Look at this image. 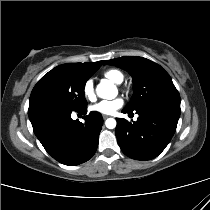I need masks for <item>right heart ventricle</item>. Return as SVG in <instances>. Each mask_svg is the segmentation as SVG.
<instances>
[{
  "label": "right heart ventricle",
  "mask_w": 210,
  "mask_h": 210,
  "mask_svg": "<svg viewBox=\"0 0 210 210\" xmlns=\"http://www.w3.org/2000/svg\"><path fill=\"white\" fill-rule=\"evenodd\" d=\"M102 75L104 78L117 84L121 83L124 79L122 72L117 69H107Z\"/></svg>",
  "instance_id": "obj_1"
}]
</instances>
